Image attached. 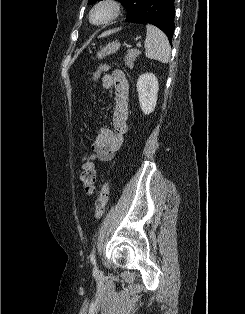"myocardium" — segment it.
Listing matches in <instances>:
<instances>
[{
  "label": "myocardium",
  "instance_id": "f54148a6",
  "mask_svg": "<svg viewBox=\"0 0 245 314\" xmlns=\"http://www.w3.org/2000/svg\"><path fill=\"white\" fill-rule=\"evenodd\" d=\"M102 7L109 9V16L106 20L102 22H95L93 20V15L99 8H102ZM121 10H122V5L119 2V0H98L90 10L89 19H90V22L94 25H98V26L107 25L119 17V15L121 14Z\"/></svg>",
  "mask_w": 245,
  "mask_h": 314
}]
</instances>
